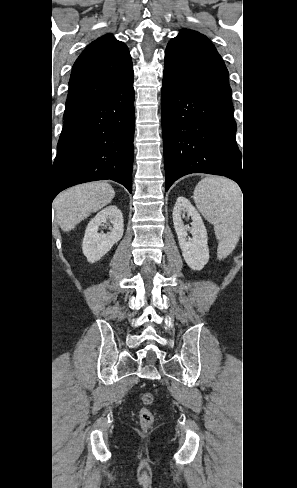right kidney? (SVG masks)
<instances>
[{"instance_id":"ca27d5eb","label":"right kidney","mask_w":297,"mask_h":488,"mask_svg":"<svg viewBox=\"0 0 297 488\" xmlns=\"http://www.w3.org/2000/svg\"><path fill=\"white\" fill-rule=\"evenodd\" d=\"M110 220L112 228L107 234L99 233V226ZM124 232L121 210L114 205L101 210L88 224L82 243L83 254L88 262L100 260L115 243L121 240Z\"/></svg>"}]
</instances>
